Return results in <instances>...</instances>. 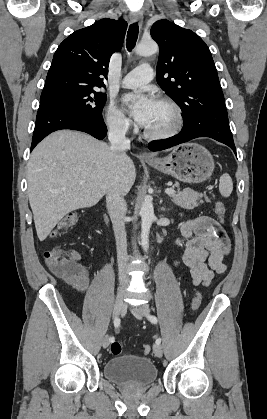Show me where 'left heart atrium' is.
Returning <instances> with one entry per match:
<instances>
[{"instance_id": "39dd6f15", "label": "left heart atrium", "mask_w": 267, "mask_h": 419, "mask_svg": "<svg viewBox=\"0 0 267 419\" xmlns=\"http://www.w3.org/2000/svg\"><path fill=\"white\" fill-rule=\"evenodd\" d=\"M123 103L130 109L135 120L145 126L150 118L155 100L144 94H127L123 98Z\"/></svg>"}]
</instances>
